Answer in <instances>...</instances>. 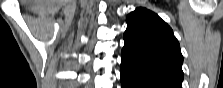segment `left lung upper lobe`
Listing matches in <instances>:
<instances>
[{"instance_id": "1", "label": "left lung upper lobe", "mask_w": 223, "mask_h": 88, "mask_svg": "<svg viewBox=\"0 0 223 88\" xmlns=\"http://www.w3.org/2000/svg\"><path fill=\"white\" fill-rule=\"evenodd\" d=\"M126 22L121 65L182 88L183 56L172 29L157 14L141 7Z\"/></svg>"}]
</instances>
